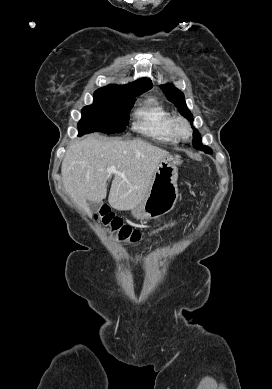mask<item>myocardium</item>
<instances>
[{"label": "myocardium", "instance_id": "1", "mask_svg": "<svg viewBox=\"0 0 272 389\" xmlns=\"http://www.w3.org/2000/svg\"><path fill=\"white\" fill-rule=\"evenodd\" d=\"M172 130L177 139L188 140L192 135V128L182 116H176L172 119Z\"/></svg>", "mask_w": 272, "mask_h": 389}]
</instances>
